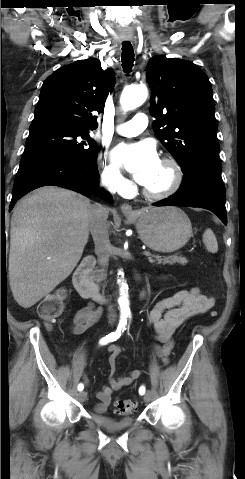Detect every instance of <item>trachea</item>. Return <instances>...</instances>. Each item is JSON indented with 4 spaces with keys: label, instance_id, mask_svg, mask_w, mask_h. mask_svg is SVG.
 <instances>
[{
    "label": "trachea",
    "instance_id": "3493384b",
    "mask_svg": "<svg viewBox=\"0 0 245 479\" xmlns=\"http://www.w3.org/2000/svg\"><path fill=\"white\" fill-rule=\"evenodd\" d=\"M122 67L126 73H129L134 63V50L130 42L122 43Z\"/></svg>",
    "mask_w": 245,
    "mask_h": 479
}]
</instances>
